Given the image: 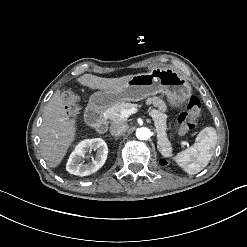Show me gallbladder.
Instances as JSON below:
<instances>
[{"label":"gallbladder","instance_id":"bac80fb5","mask_svg":"<svg viewBox=\"0 0 247 247\" xmlns=\"http://www.w3.org/2000/svg\"><path fill=\"white\" fill-rule=\"evenodd\" d=\"M72 104H73V105H74V104H76V100H75V101H73V102H72Z\"/></svg>","mask_w":247,"mask_h":247}]
</instances>
